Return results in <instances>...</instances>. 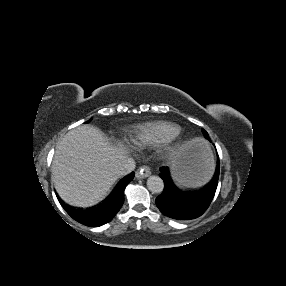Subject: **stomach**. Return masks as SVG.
Wrapping results in <instances>:
<instances>
[{
	"mask_svg": "<svg viewBox=\"0 0 286 286\" xmlns=\"http://www.w3.org/2000/svg\"><path fill=\"white\" fill-rule=\"evenodd\" d=\"M171 166L176 181L186 186H200L210 179L214 161L207 143L195 139L179 149L172 157Z\"/></svg>",
	"mask_w": 286,
	"mask_h": 286,
	"instance_id": "stomach-1",
	"label": "stomach"
}]
</instances>
